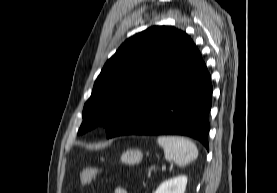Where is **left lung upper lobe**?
I'll list each match as a JSON object with an SVG mask.
<instances>
[{"label": "left lung upper lobe", "instance_id": "obj_1", "mask_svg": "<svg viewBox=\"0 0 277 193\" xmlns=\"http://www.w3.org/2000/svg\"><path fill=\"white\" fill-rule=\"evenodd\" d=\"M195 48L186 33L170 26H153L127 39L96 79L78 134L104 125L109 138Z\"/></svg>", "mask_w": 277, "mask_h": 193}]
</instances>
